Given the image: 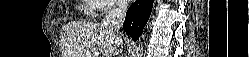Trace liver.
Segmentation results:
<instances>
[{
	"mask_svg": "<svg viewBox=\"0 0 249 57\" xmlns=\"http://www.w3.org/2000/svg\"><path fill=\"white\" fill-rule=\"evenodd\" d=\"M64 57H115L117 47L122 43L119 34L98 23L72 22L61 32Z\"/></svg>",
	"mask_w": 249,
	"mask_h": 57,
	"instance_id": "6515ba94",
	"label": "liver"
}]
</instances>
